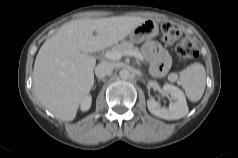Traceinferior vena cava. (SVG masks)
<instances>
[{"instance_id": "obj_1", "label": "inferior vena cava", "mask_w": 238, "mask_h": 158, "mask_svg": "<svg viewBox=\"0 0 238 158\" xmlns=\"http://www.w3.org/2000/svg\"><path fill=\"white\" fill-rule=\"evenodd\" d=\"M113 70V66L109 63L102 62L99 63L95 68V74L97 78L102 79L109 75Z\"/></svg>"}]
</instances>
